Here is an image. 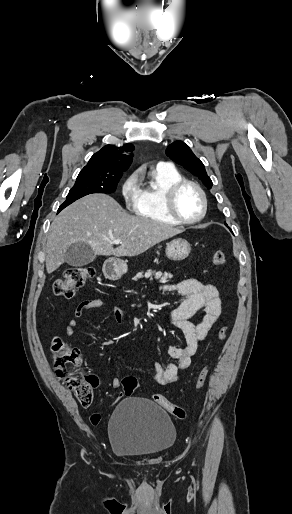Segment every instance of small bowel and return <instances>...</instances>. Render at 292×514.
<instances>
[{
  "instance_id": "1",
  "label": "small bowel",
  "mask_w": 292,
  "mask_h": 514,
  "mask_svg": "<svg viewBox=\"0 0 292 514\" xmlns=\"http://www.w3.org/2000/svg\"><path fill=\"white\" fill-rule=\"evenodd\" d=\"M163 290L185 297L181 303L169 311V322L171 326L183 333L185 344L171 345L167 348L168 355L174 361L169 362L165 367L159 363L153 364L156 383L160 386H168L176 383L180 373L191 365V360L196 354L200 343L206 338L209 330L222 314V301L216 286L194 278L182 279L165 285ZM105 307L106 301L100 297L80 302L74 311V317L64 329V335L69 338L73 337L79 320L85 313L92 310H102ZM201 309L204 310L205 314L198 324L187 320L188 317ZM127 315L128 313L125 309L119 307L115 309V319L117 321L122 320ZM122 359V355H118L116 357V364H120ZM112 386L116 389L120 388L121 380L119 377L113 379ZM116 396V400L121 402L124 393L118 391ZM116 400L112 401L113 405L117 404ZM106 409L110 410L111 406L107 405Z\"/></svg>"
}]
</instances>
